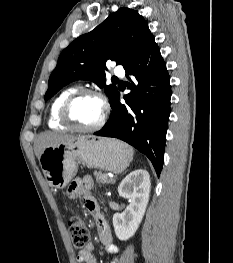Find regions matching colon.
<instances>
[{
  "instance_id": "obj_1",
  "label": "colon",
  "mask_w": 233,
  "mask_h": 263,
  "mask_svg": "<svg viewBox=\"0 0 233 263\" xmlns=\"http://www.w3.org/2000/svg\"><path fill=\"white\" fill-rule=\"evenodd\" d=\"M68 231L75 250H84L89 243V234L86 224L78 217H72L68 221Z\"/></svg>"
}]
</instances>
